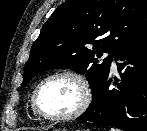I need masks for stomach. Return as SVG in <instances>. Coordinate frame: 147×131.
Returning a JSON list of instances; mask_svg holds the SVG:
<instances>
[{
    "instance_id": "0dacf381",
    "label": "stomach",
    "mask_w": 147,
    "mask_h": 131,
    "mask_svg": "<svg viewBox=\"0 0 147 131\" xmlns=\"http://www.w3.org/2000/svg\"><path fill=\"white\" fill-rule=\"evenodd\" d=\"M59 131H67L66 129H61V130H59Z\"/></svg>"
}]
</instances>
